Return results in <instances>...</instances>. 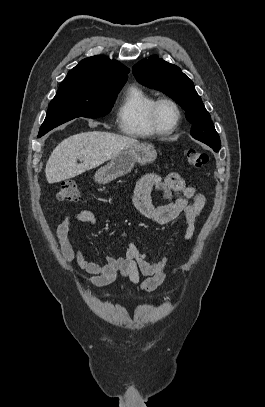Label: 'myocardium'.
<instances>
[{
	"mask_svg": "<svg viewBox=\"0 0 265 407\" xmlns=\"http://www.w3.org/2000/svg\"><path fill=\"white\" fill-rule=\"evenodd\" d=\"M164 104H168L173 107L176 113V118L173 125L169 128H163L159 121V110ZM182 117V112L179 104L172 98L164 97L154 101L149 111V121L153 130L159 135L172 134L178 127Z\"/></svg>",
	"mask_w": 265,
	"mask_h": 407,
	"instance_id": "obj_1",
	"label": "myocardium"
}]
</instances>
